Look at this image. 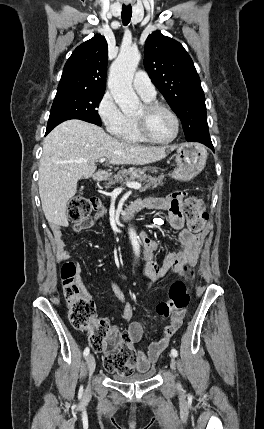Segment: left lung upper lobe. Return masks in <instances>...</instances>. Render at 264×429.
<instances>
[{
    "instance_id": "obj_1",
    "label": "left lung upper lobe",
    "mask_w": 264,
    "mask_h": 429,
    "mask_svg": "<svg viewBox=\"0 0 264 429\" xmlns=\"http://www.w3.org/2000/svg\"><path fill=\"white\" fill-rule=\"evenodd\" d=\"M144 54V66L180 118L186 140L210 139L200 78L183 46L156 31L148 36Z\"/></svg>"
}]
</instances>
